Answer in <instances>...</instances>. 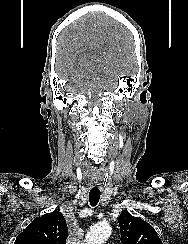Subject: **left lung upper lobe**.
Returning a JSON list of instances; mask_svg holds the SVG:
<instances>
[{
    "mask_svg": "<svg viewBox=\"0 0 188 244\" xmlns=\"http://www.w3.org/2000/svg\"><path fill=\"white\" fill-rule=\"evenodd\" d=\"M118 223L123 244H163L155 229L141 218L124 212Z\"/></svg>",
    "mask_w": 188,
    "mask_h": 244,
    "instance_id": "1",
    "label": "left lung upper lobe"
}]
</instances>
